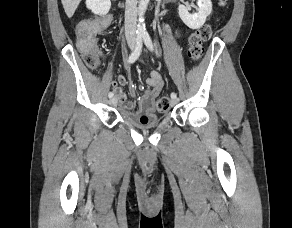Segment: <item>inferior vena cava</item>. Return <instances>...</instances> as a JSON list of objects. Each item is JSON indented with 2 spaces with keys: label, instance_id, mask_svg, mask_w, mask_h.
<instances>
[{
  "label": "inferior vena cava",
  "instance_id": "inferior-vena-cava-1",
  "mask_svg": "<svg viewBox=\"0 0 292 228\" xmlns=\"http://www.w3.org/2000/svg\"><path fill=\"white\" fill-rule=\"evenodd\" d=\"M137 13V0H126L125 36L129 42L136 41Z\"/></svg>",
  "mask_w": 292,
  "mask_h": 228
}]
</instances>
